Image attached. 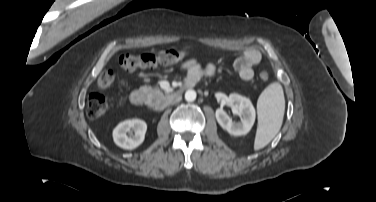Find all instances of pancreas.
<instances>
[{"instance_id":"pancreas-1","label":"pancreas","mask_w":376,"mask_h":202,"mask_svg":"<svg viewBox=\"0 0 376 202\" xmlns=\"http://www.w3.org/2000/svg\"><path fill=\"white\" fill-rule=\"evenodd\" d=\"M142 90L147 95V99L152 101L164 97V93L158 87H143Z\"/></svg>"}]
</instances>
